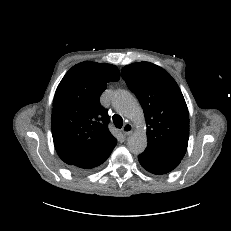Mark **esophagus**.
<instances>
[{"mask_svg": "<svg viewBox=\"0 0 231 231\" xmlns=\"http://www.w3.org/2000/svg\"><path fill=\"white\" fill-rule=\"evenodd\" d=\"M133 131H134V127L130 123H126L122 128V132L126 136L131 135Z\"/></svg>", "mask_w": 231, "mask_h": 231, "instance_id": "1", "label": "esophagus"}]
</instances>
